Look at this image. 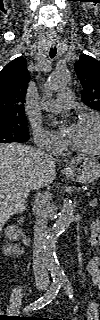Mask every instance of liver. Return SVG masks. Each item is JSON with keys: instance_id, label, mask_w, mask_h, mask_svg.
Returning <instances> with one entry per match:
<instances>
[{"instance_id": "liver-1", "label": "liver", "mask_w": 100, "mask_h": 320, "mask_svg": "<svg viewBox=\"0 0 100 320\" xmlns=\"http://www.w3.org/2000/svg\"><path fill=\"white\" fill-rule=\"evenodd\" d=\"M56 177L55 162L21 143L0 144V214L6 221L25 210L31 189L50 185Z\"/></svg>"}]
</instances>
